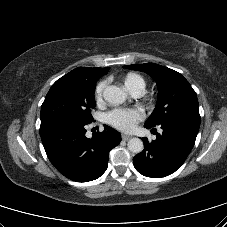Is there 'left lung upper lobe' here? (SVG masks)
Returning a JSON list of instances; mask_svg holds the SVG:
<instances>
[{
    "instance_id": "left-lung-upper-lobe-1",
    "label": "left lung upper lobe",
    "mask_w": 227,
    "mask_h": 227,
    "mask_svg": "<svg viewBox=\"0 0 227 227\" xmlns=\"http://www.w3.org/2000/svg\"><path fill=\"white\" fill-rule=\"evenodd\" d=\"M125 68L146 72L157 83L158 100L145 126L155 127L175 119L200 121L196 93L180 73L154 63L129 65Z\"/></svg>"
}]
</instances>
